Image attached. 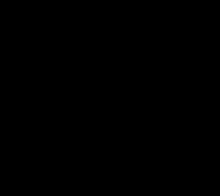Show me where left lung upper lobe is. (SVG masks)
Wrapping results in <instances>:
<instances>
[{
	"instance_id": "5c2ea615",
	"label": "left lung upper lobe",
	"mask_w": 220,
	"mask_h": 196,
	"mask_svg": "<svg viewBox=\"0 0 220 196\" xmlns=\"http://www.w3.org/2000/svg\"><path fill=\"white\" fill-rule=\"evenodd\" d=\"M150 65L156 79L152 90L154 114L150 132L157 140L166 141L189 118L192 88L185 69L173 57H152Z\"/></svg>"
}]
</instances>
